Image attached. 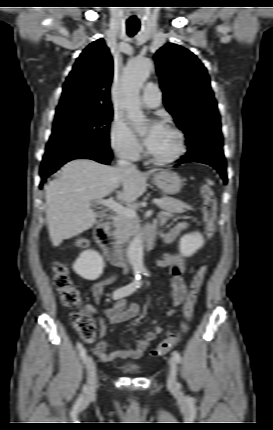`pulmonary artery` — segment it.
Wrapping results in <instances>:
<instances>
[{
	"instance_id": "obj_1",
	"label": "pulmonary artery",
	"mask_w": 273,
	"mask_h": 430,
	"mask_svg": "<svg viewBox=\"0 0 273 430\" xmlns=\"http://www.w3.org/2000/svg\"><path fill=\"white\" fill-rule=\"evenodd\" d=\"M141 101L142 105L146 108L154 109L160 106L161 91L156 83L149 82L146 84Z\"/></svg>"
}]
</instances>
